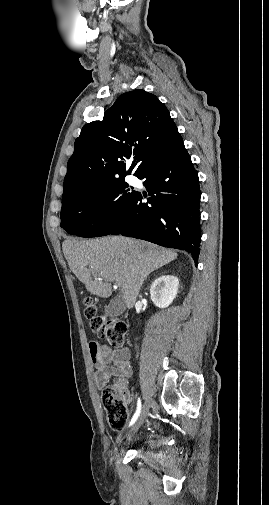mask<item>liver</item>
Here are the masks:
<instances>
[{"mask_svg": "<svg viewBox=\"0 0 269 505\" xmlns=\"http://www.w3.org/2000/svg\"><path fill=\"white\" fill-rule=\"evenodd\" d=\"M62 247L70 270L91 294L108 298L115 282L128 309L135 305L144 279L177 258L174 251L123 236L67 239ZM94 274L100 279H93Z\"/></svg>", "mask_w": 269, "mask_h": 505, "instance_id": "6515ba94", "label": "liver"}]
</instances>
